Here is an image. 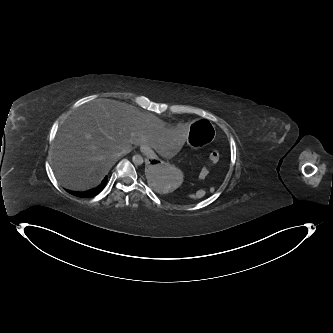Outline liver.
<instances>
[{"mask_svg": "<svg viewBox=\"0 0 333 333\" xmlns=\"http://www.w3.org/2000/svg\"><path fill=\"white\" fill-rule=\"evenodd\" d=\"M188 126L181 119L165 123L124 102L94 100L77 108L65 121L51 151L54 173L67 189L98 186L120 154L146 144L159 155L179 148ZM173 155V154H172Z\"/></svg>", "mask_w": 333, "mask_h": 333, "instance_id": "6515ba94", "label": "liver"}]
</instances>
